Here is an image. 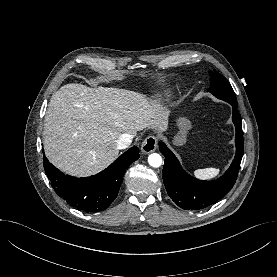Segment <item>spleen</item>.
<instances>
[{
    "instance_id": "3e777b00",
    "label": "spleen",
    "mask_w": 277,
    "mask_h": 277,
    "mask_svg": "<svg viewBox=\"0 0 277 277\" xmlns=\"http://www.w3.org/2000/svg\"><path fill=\"white\" fill-rule=\"evenodd\" d=\"M219 169L205 168L194 171V176L202 180H210L215 178L219 174Z\"/></svg>"
}]
</instances>
